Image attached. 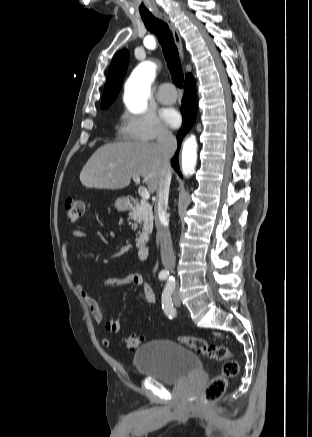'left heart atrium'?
I'll list each match as a JSON object with an SVG mask.
<instances>
[{"label": "left heart atrium", "mask_w": 312, "mask_h": 437, "mask_svg": "<svg viewBox=\"0 0 312 437\" xmlns=\"http://www.w3.org/2000/svg\"><path fill=\"white\" fill-rule=\"evenodd\" d=\"M164 121L171 127H177L181 121L180 114L177 110L170 108L163 112Z\"/></svg>", "instance_id": "left-heart-atrium-1"}]
</instances>
